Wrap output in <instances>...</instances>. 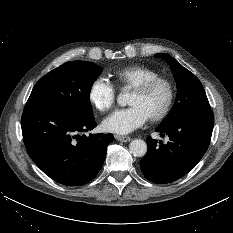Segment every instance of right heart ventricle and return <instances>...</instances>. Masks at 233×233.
<instances>
[{
	"mask_svg": "<svg viewBox=\"0 0 233 233\" xmlns=\"http://www.w3.org/2000/svg\"><path fill=\"white\" fill-rule=\"evenodd\" d=\"M159 76L160 74L156 70L144 65L124 67L113 73L116 85L120 88L128 89H133L145 81Z\"/></svg>",
	"mask_w": 233,
	"mask_h": 233,
	"instance_id": "right-heart-ventricle-1",
	"label": "right heart ventricle"
}]
</instances>
